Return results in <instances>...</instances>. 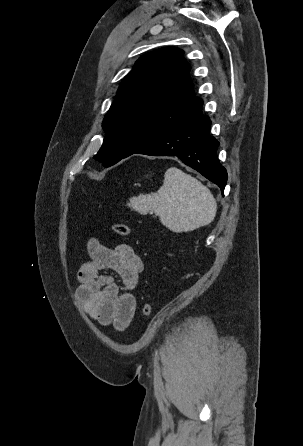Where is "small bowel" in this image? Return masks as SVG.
<instances>
[{"instance_id":"obj_1","label":"small bowel","mask_w":303,"mask_h":446,"mask_svg":"<svg viewBox=\"0 0 303 446\" xmlns=\"http://www.w3.org/2000/svg\"><path fill=\"white\" fill-rule=\"evenodd\" d=\"M87 252L90 260L78 270L76 297L92 319L122 331L135 314L134 293L143 270L142 260L128 244L110 248L94 238L88 241ZM107 272L114 273L118 282Z\"/></svg>"}]
</instances>
